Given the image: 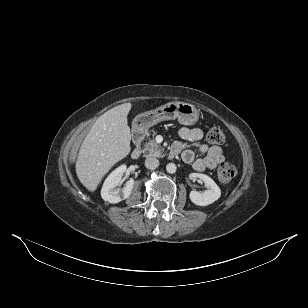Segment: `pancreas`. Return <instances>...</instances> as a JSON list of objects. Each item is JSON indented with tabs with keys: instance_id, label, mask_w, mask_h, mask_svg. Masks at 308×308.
Wrapping results in <instances>:
<instances>
[{
	"instance_id": "pancreas-1",
	"label": "pancreas",
	"mask_w": 308,
	"mask_h": 308,
	"mask_svg": "<svg viewBox=\"0 0 308 308\" xmlns=\"http://www.w3.org/2000/svg\"><path fill=\"white\" fill-rule=\"evenodd\" d=\"M143 154L147 157H162L163 156V148L154 140L151 139L144 144Z\"/></svg>"
}]
</instances>
